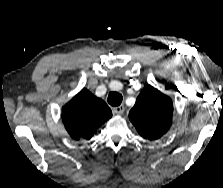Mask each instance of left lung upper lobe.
Returning a JSON list of instances; mask_svg holds the SVG:
<instances>
[{"instance_id": "1", "label": "left lung upper lobe", "mask_w": 223, "mask_h": 188, "mask_svg": "<svg viewBox=\"0 0 223 188\" xmlns=\"http://www.w3.org/2000/svg\"><path fill=\"white\" fill-rule=\"evenodd\" d=\"M173 105L167 95L146 85L129 112V119L145 139L162 137L172 124Z\"/></svg>"}]
</instances>
